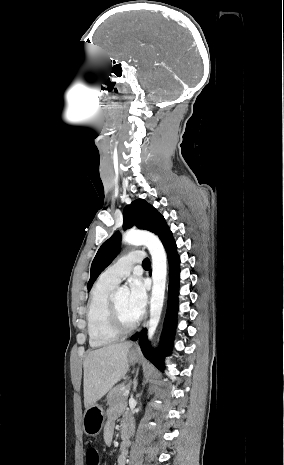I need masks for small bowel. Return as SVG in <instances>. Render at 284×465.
I'll return each mask as SVG.
<instances>
[{"label": "small bowel", "mask_w": 284, "mask_h": 465, "mask_svg": "<svg viewBox=\"0 0 284 465\" xmlns=\"http://www.w3.org/2000/svg\"><path fill=\"white\" fill-rule=\"evenodd\" d=\"M122 414V407L117 406L108 411V419L104 427V441L107 444L112 442L115 430V422ZM133 425L128 417H123L122 420V441L120 444L121 454L118 457L117 465H127V454L130 446V436L132 434ZM124 434L126 435L124 437Z\"/></svg>", "instance_id": "c3829d8e"}]
</instances>
